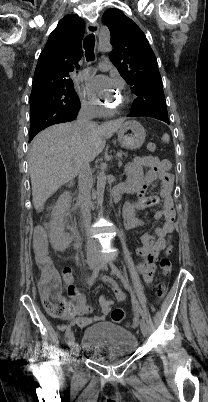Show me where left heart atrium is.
<instances>
[{"label": "left heart atrium", "mask_w": 208, "mask_h": 402, "mask_svg": "<svg viewBox=\"0 0 208 402\" xmlns=\"http://www.w3.org/2000/svg\"><path fill=\"white\" fill-rule=\"evenodd\" d=\"M111 84L110 79L104 75H95L88 79L85 88V93L90 98H95L94 94L99 90L109 87ZM98 97H102L99 95Z\"/></svg>", "instance_id": "obj_1"}]
</instances>
